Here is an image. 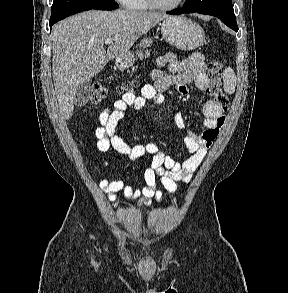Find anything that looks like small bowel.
<instances>
[{"instance_id": "small-bowel-1", "label": "small bowel", "mask_w": 288, "mask_h": 293, "mask_svg": "<svg viewBox=\"0 0 288 293\" xmlns=\"http://www.w3.org/2000/svg\"><path fill=\"white\" fill-rule=\"evenodd\" d=\"M165 66L169 74H165L162 70ZM151 77L154 83L144 85L140 95L123 94L122 98L114 103L112 110H104L99 116L100 126L95 130V136L96 146L100 152L112 149L132 161L145 154L153 156L150 167L144 172L145 186L142 188L134 189L120 180L104 179L100 182V188L108 194V199L112 203L118 201V192H123L126 199H138L139 205L149 206L152 199L160 201L163 194L156 187L157 180L165 190L174 195L179 182L189 183L192 180L225 123L223 110L215 100H207L202 108L203 131L201 133L187 132L184 138L189 156L183 162L164 154L156 143L134 146L128 144L116 131L128 108L140 111L146 106L148 100L163 104V92L172 86L185 96L188 94L187 85L190 83H194L202 91H206L210 85L209 77L205 72L203 55L198 52L192 53L185 59H178L173 53L161 56L157 60L156 68L151 72ZM171 114L176 127L184 129L185 124L181 114L176 109H172Z\"/></svg>"}]
</instances>
